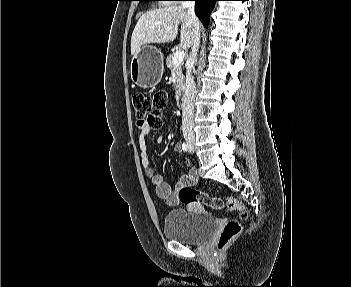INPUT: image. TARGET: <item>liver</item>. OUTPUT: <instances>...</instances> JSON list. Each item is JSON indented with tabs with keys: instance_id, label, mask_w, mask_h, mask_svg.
I'll return each instance as SVG.
<instances>
[{
	"instance_id": "obj_1",
	"label": "liver",
	"mask_w": 351,
	"mask_h": 287,
	"mask_svg": "<svg viewBox=\"0 0 351 287\" xmlns=\"http://www.w3.org/2000/svg\"><path fill=\"white\" fill-rule=\"evenodd\" d=\"M181 24V46L187 50L192 46L197 29L181 5H171L144 13L137 21L131 36V54H137L143 45L174 41ZM200 31V23H199Z\"/></svg>"
}]
</instances>
